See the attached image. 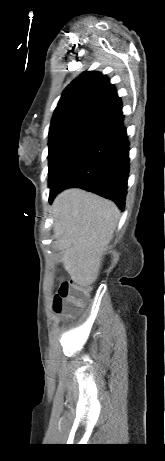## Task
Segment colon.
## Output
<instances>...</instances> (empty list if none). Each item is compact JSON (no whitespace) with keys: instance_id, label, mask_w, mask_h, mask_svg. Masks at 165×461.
Listing matches in <instances>:
<instances>
[{"instance_id":"1","label":"colon","mask_w":165,"mask_h":461,"mask_svg":"<svg viewBox=\"0 0 165 461\" xmlns=\"http://www.w3.org/2000/svg\"><path fill=\"white\" fill-rule=\"evenodd\" d=\"M89 289L73 280H62L53 299V310L72 317L80 311L88 299Z\"/></svg>"}]
</instances>
